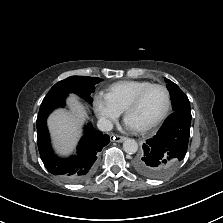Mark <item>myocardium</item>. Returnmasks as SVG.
<instances>
[{"mask_svg":"<svg viewBox=\"0 0 223 223\" xmlns=\"http://www.w3.org/2000/svg\"><path fill=\"white\" fill-rule=\"evenodd\" d=\"M153 88H161L164 90V92L166 93V97H167V103L165 106V109L163 111V113L160 115V117L155 120L153 123L147 125V126H143V127H139V128H135L136 131L141 132V133H145L148 131H151L153 129H155L157 126H159L167 117L170 108H171V94L168 90V88L162 84H151L147 87H145L144 89H142L132 100L131 102L127 105V107L124 109V114L125 117H127V115L134 110L139 103L141 102V100L143 99V97L146 95V93L148 91H150Z\"/></svg>","mask_w":223,"mask_h":223,"instance_id":"1","label":"myocardium"}]
</instances>
